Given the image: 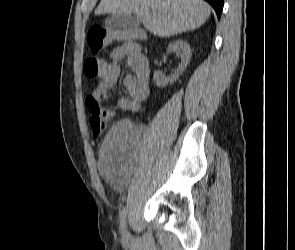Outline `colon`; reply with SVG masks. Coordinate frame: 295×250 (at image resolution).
<instances>
[{
    "instance_id": "obj_1",
    "label": "colon",
    "mask_w": 295,
    "mask_h": 250,
    "mask_svg": "<svg viewBox=\"0 0 295 250\" xmlns=\"http://www.w3.org/2000/svg\"><path fill=\"white\" fill-rule=\"evenodd\" d=\"M144 39V33L139 30L122 31L108 29L102 26H92L87 34V43L93 54H98L102 49L114 41L123 42L131 47L139 46ZM84 73L88 78H98L103 72V62L96 57H88L83 64ZM89 112V123L94 137H99L106 129V124L112 116V111L103 108L94 98L88 96L85 100Z\"/></svg>"
}]
</instances>
